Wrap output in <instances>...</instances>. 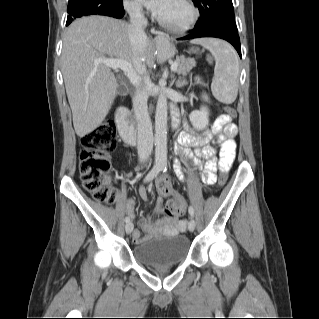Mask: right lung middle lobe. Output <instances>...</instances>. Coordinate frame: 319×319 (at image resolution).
<instances>
[{
  "label": "right lung middle lobe",
  "mask_w": 319,
  "mask_h": 319,
  "mask_svg": "<svg viewBox=\"0 0 319 319\" xmlns=\"http://www.w3.org/2000/svg\"><path fill=\"white\" fill-rule=\"evenodd\" d=\"M121 4L122 0H69L66 25L75 18L111 11Z\"/></svg>",
  "instance_id": "obj_1"
}]
</instances>
